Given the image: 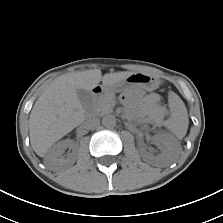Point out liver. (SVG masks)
<instances>
[{
	"instance_id": "liver-1",
	"label": "liver",
	"mask_w": 223,
	"mask_h": 223,
	"mask_svg": "<svg viewBox=\"0 0 223 223\" xmlns=\"http://www.w3.org/2000/svg\"><path fill=\"white\" fill-rule=\"evenodd\" d=\"M133 72L122 71L102 76L99 69L64 74L54 79L35 102L29 118L30 143L35 153L44 157L59 139L85 120V110L77 90L92 91L100 81L112 85Z\"/></svg>"
}]
</instances>
